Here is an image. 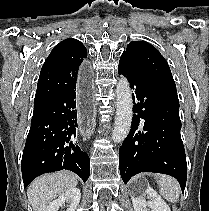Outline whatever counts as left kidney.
<instances>
[{
	"mask_svg": "<svg viewBox=\"0 0 209 211\" xmlns=\"http://www.w3.org/2000/svg\"><path fill=\"white\" fill-rule=\"evenodd\" d=\"M146 197L150 200L146 201ZM131 199L134 211H171L164 200L150 186L144 189L133 186L131 188Z\"/></svg>",
	"mask_w": 209,
	"mask_h": 211,
	"instance_id": "left-kidney-1",
	"label": "left kidney"
}]
</instances>
